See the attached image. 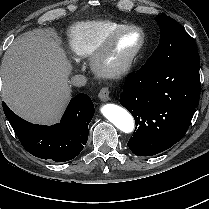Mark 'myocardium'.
I'll use <instances>...</instances> for the list:
<instances>
[{
  "instance_id": "obj_1",
  "label": "myocardium",
  "mask_w": 209,
  "mask_h": 209,
  "mask_svg": "<svg viewBox=\"0 0 209 209\" xmlns=\"http://www.w3.org/2000/svg\"><path fill=\"white\" fill-rule=\"evenodd\" d=\"M128 32H139L141 34V42L139 46L123 61L112 65L109 63V56L112 49L120 36ZM146 44V34L144 30L135 25H127L113 30L100 45L91 60V66L94 73L106 79L120 78L128 74L138 60Z\"/></svg>"
}]
</instances>
